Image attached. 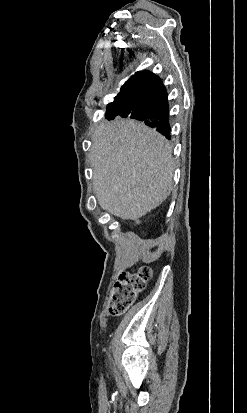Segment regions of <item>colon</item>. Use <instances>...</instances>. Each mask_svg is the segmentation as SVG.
I'll list each match as a JSON object with an SVG mask.
<instances>
[{"label":"colon","instance_id":"obj_1","mask_svg":"<svg viewBox=\"0 0 247 413\" xmlns=\"http://www.w3.org/2000/svg\"><path fill=\"white\" fill-rule=\"evenodd\" d=\"M152 277V268L142 265L135 271L124 272L113 285V294L109 304L112 315H121L133 306L137 295L142 292Z\"/></svg>","mask_w":247,"mask_h":413}]
</instances>
